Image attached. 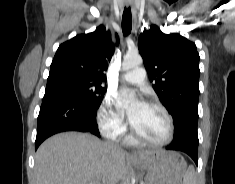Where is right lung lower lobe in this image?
Returning a JSON list of instances; mask_svg holds the SVG:
<instances>
[{
	"instance_id": "98d812e1",
	"label": "right lung lower lobe",
	"mask_w": 235,
	"mask_h": 184,
	"mask_svg": "<svg viewBox=\"0 0 235 184\" xmlns=\"http://www.w3.org/2000/svg\"><path fill=\"white\" fill-rule=\"evenodd\" d=\"M97 109L61 87L46 88L38 116L35 150L45 139L60 132H89L100 137Z\"/></svg>"
}]
</instances>
